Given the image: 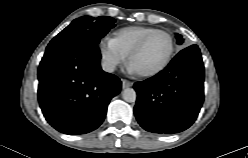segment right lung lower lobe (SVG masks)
I'll list each match as a JSON object with an SVG mask.
<instances>
[{"mask_svg": "<svg viewBox=\"0 0 248 158\" xmlns=\"http://www.w3.org/2000/svg\"><path fill=\"white\" fill-rule=\"evenodd\" d=\"M98 46L52 40L38 69V100L46 120L65 134H85L103 122L121 81L100 67Z\"/></svg>", "mask_w": 248, "mask_h": 158, "instance_id": "right-lung-lower-lobe-1", "label": "right lung lower lobe"}]
</instances>
